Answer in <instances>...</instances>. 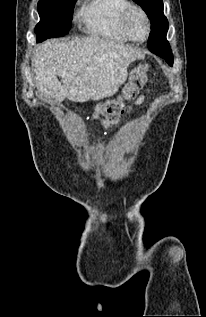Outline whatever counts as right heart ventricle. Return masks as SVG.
<instances>
[{
	"label": "right heart ventricle",
	"instance_id": "obj_1",
	"mask_svg": "<svg viewBox=\"0 0 206 317\" xmlns=\"http://www.w3.org/2000/svg\"><path fill=\"white\" fill-rule=\"evenodd\" d=\"M130 5L129 0H89L78 15L91 35L125 43L129 39L120 28V18Z\"/></svg>",
	"mask_w": 206,
	"mask_h": 317
}]
</instances>
